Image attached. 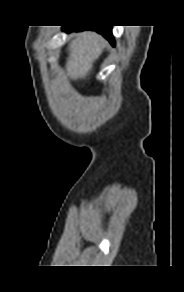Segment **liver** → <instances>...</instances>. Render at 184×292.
Masks as SVG:
<instances>
[{
  "instance_id": "6515ba94",
  "label": "liver",
  "mask_w": 184,
  "mask_h": 292,
  "mask_svg": "<svg viewBox=\"0 0 184 292\" xmlns=\"http://www.w3.org/2000/svg\"><path fill=\"white\" fill-rule=\"evenodd\" d=\"M69 44L66 63L67 76L72 80L85 79L104 48L102 37L90 31L74 34Z\"/></svg>"
}]
</instances>
